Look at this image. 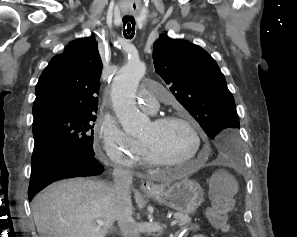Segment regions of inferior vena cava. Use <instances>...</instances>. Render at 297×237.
<instances>
[{
	"instance_id": "inferior-vena-cava-1",
	"label": "inferior vena cava",
	"mask_w": 297,
	"mask_h": 237,
	"mask_svg": "<svg viewBox=\"0 0 297 237\" xmlns=\"http://www.w3.org/2000/svg\"><path fill=\"white\" fill-rule=\"evenodd\" d=\"M113 177L112 194L121 214L118 221L120 230L124 237H139L138 226L131 212L130 186L133 181L132 173L122 168H115Z\"/></svg>"
}]
</instances>
